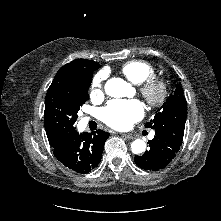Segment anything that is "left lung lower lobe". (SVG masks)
Listing matches in <instances>:
<instances>
[{
    "label": "left lung lower lobe",
    "mask_w": 221,
    "mask_h": 221,
    "mask_svg": "<svg viewBox=\"0 0 221 221\" xmlns=\"http://www.w3.org/2000/svg\"><path fill=\"white\" fill-rule=\"evenodd\" d=\"M148 144L149 150L142 156H135L134 161L142 169L158 171L166 167L175 157L182 140L172 134L155 132L154 139Z\"/></svg>",
    "instance_id": "left-lung-lower-lobe-1"
}]
</instances>
